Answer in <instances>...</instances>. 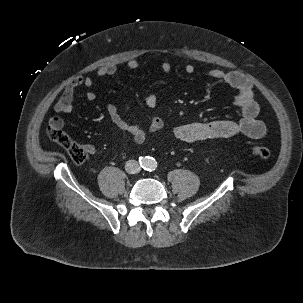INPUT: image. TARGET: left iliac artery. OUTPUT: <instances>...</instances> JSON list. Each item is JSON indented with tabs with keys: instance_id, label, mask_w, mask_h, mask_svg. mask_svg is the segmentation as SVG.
I'll return each mask as SVG.
<instances>
[{
	"instance_id": "left-iliac-artery-1",
	"label": "left iliac artery",
	"mask_w": 303,
	"mask_h": 303,
	"mask_svg": "<svg viewBox=\"0 0 303 303\" xmlns=\"http://www.w3.org/2000/svg\"><path fill=\"white\" fill-rule=\"evenodd\" d=\"M149 167L153 169L155 167V162L151 161Z\"/></svg>"
}]
</instances>
